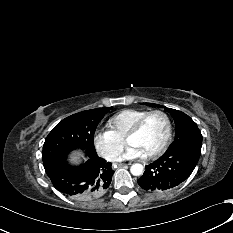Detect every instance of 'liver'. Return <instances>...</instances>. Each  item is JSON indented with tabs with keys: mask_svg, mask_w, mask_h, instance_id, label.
Segmentation results:
<instances>
[{
	"mask_svg": "<svg viewBox=\"0 0 233 233\" xmlns=\"http://www.w3.org/2000/svg\"><path fill=\"white\" fill-rule=\"evenodd\" d=\"M77 159H78L77 156H73V158H72L73 161H76Z\"/></svg>",
	"mask_w": 233,
	"mask_h": 233,
	"instance_id": "6515ba94",
	"label": "liver"
}]
</instances>
